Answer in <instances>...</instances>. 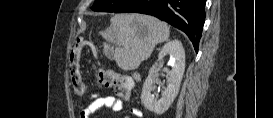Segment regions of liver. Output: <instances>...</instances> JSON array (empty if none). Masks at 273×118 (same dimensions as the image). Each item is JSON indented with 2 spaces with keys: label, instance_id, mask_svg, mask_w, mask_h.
<instances>
[{
  "label": "liver",
  "instance_id": "6515ba94",
  "mask_svg": "<svg viewBox=\"0 0 273 118\" xmlns=\"http://www.w3.org/2000/svg\"><path fill=\"white\" fill-rule=\"evenodd\" d=\"M110 27L100 32L118 47L113 52L116 64L123 70H134L147 60L158 43L168 40L170 27L155 17L143 14H116Z\"/></svg>",
  "mask_w": 273,
  "mask_h": 118
}]
</instances>
